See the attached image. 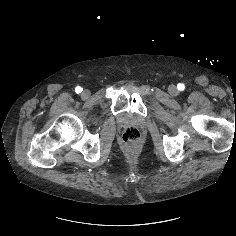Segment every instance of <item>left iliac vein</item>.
I'll return each instance as SVG.
<instances>
[{
  "instance_id": "4c4485c4",
  "label": "left iliac vein",
  "mask_w": 236,
  "mask_h": 236,
  "mask_svg": "<svg viewBox=\"0 0 236 236\" xmlns=\"http://www.w3.org/2000/svg\"><path fill=\"white\" fill-rule=\"evenodd\" d=\"M168 92L173 95L176 96L178 94V89L175 85H170L168 88Z\"/></svg>"
}]
</instances>
